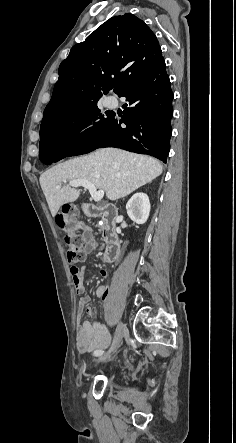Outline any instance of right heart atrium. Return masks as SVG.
Listing matches in <instances>:
<instances>
[{"instance_id":"1","label":"right heart atrium","mask_w":236,"mask_h":443,"mask_svg":"<svg viewBox=\"0 0 236 443\" xmlns=\"http://www.w3.org/2000/svg\"><path fill=\"white\" fill-rule=\"evenodd\" d=\"M90 126L87 122H79L73 128V138L76 140L86 138L89 135Z\"/></svg>"}]
</instances>
